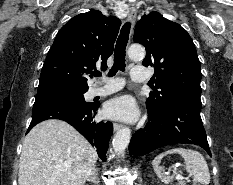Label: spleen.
<instances>
[{
	"label": "spleen",
	"mask_w": 233,
	"mask_h": 185,
	"mask_svg": "<svg viewBox=\"0 0 233 185\" xmlns=\"http://www.w3.org/2000/svg\"><path fill=\"white\" fill-rule=\"evenodd\" d=\"M180 154L185 161V169L192 174L194 184L208 185L210 182V173L206 160L198 151L187 148H172L164 153L156 156L152 162L153 168L158 178L168 184L171 182L172 177L165 175L162 172L160 162L167 154Z\"/></svg>",
	"instance_id": "spleen-1"
}]
</instances>
